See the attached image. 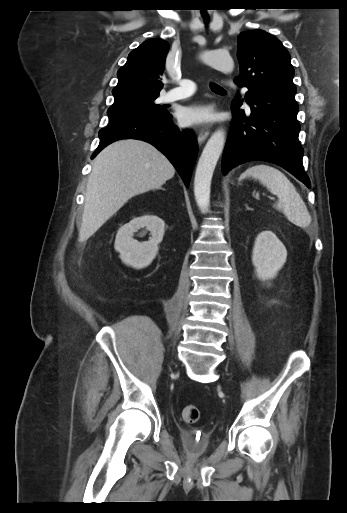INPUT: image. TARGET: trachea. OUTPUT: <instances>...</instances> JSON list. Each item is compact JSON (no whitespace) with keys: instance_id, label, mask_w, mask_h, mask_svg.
<instances>
[{"instance_id":"1","label":"trachea","mask_w":347,"mask_h":513,"mask_svg":"<svg viewBox=\"0 0 347 513\" xmlns=\"http://www.w3.org/2000/svg\"><path fill=\"white\" fill-rule=\"evenodd\" d=\"M205 22L207 23L206 19H205ZM211 90L215 93H224L225 92V90L217 84H211Z\"/></svg>"}]
</instances>
